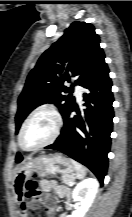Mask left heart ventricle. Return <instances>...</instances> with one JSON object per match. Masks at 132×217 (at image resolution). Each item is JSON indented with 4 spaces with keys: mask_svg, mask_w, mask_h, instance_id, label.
Segmentation results:
<instances>
[{
    "mask_svg": "<svg viewBox=\"0 0 132 217\" xmlns=\"http://www.w3.org/2000/svg\"><path fill=\"white\" fill-rule=\"evenodd\" d=\"M54 128L53 115L47 111L39 112L27 124L23 133V144L33 148L44 143L52 136Z\"/></svg>",
    "mask_w": 132,
    "mask_h": 217,
    "instance_id": "obj_1",
    "label": "left heart ventricle"
}]
</instances>
